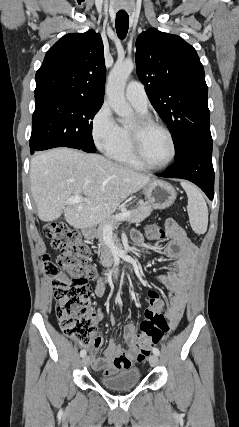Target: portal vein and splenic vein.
<instances>
[{"label":"portal vein and splenic vein","instance_id":"1","mask_svg":"<svg viewBox=\"0 0 239 427\" xmlns=\"http://www.w3.org/2000/svg\"><path fill=\"white\" fill-rule=\"evenodd\" d=\"M83 201V197L81 195H74L72 197H70L67 201L66 204H75V203H79ZM131 215V211H126L123 213H120L118 215L115 216V220L121 221L126 219L127 217H129ZM105 231H109L111 230V226L110 225H106L104 228Z\"/></svg>","mask_w":239,"mask_h":427}]
</instances>
